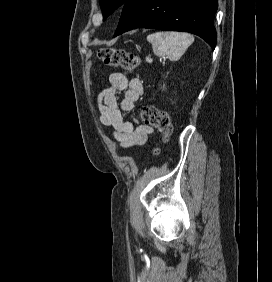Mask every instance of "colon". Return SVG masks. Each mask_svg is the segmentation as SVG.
<instances>
[{
	"label": "colon",
	"instance_id": "5ec220e1",
	"mask_svg": "<svg viewBox=\"0 0 272 282\" xmlns=\"http://www.w3.org/2000/svg\"><path fill=\"white\" fill-rule=\"evenodd\" d=\"M98 57L107 66L122 67L130 71L139 64V59L135 55L121 49H101L98 51ZM141 120L144 124L158 129L164 139H167L172 133V122L166 111L151 106L144 107L141 110Z\"/></svg>",
	"mask_w": 272,
	"mask_h": 282
}]
</instances>
